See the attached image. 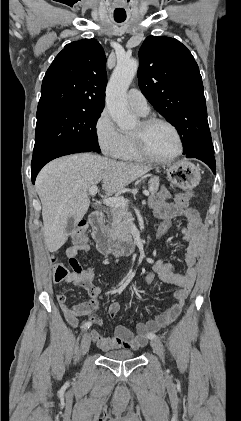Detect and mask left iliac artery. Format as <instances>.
<instances>
[{
	"label": "left iliac artery",
	"mask_w": 241,
	"mask_h": 421,
	"mask_svg": "<svg viewBox=\"0 0 241 421\" xmlns=\"http://www.w3.org/2000/svg\"><path fill=\"white\" fill-rule=\"evenodd\" d=\"M157 338L156 336H152L151 339Z\"/></svg>",
	"instance_id": "obj_1"
}]
</instances>
